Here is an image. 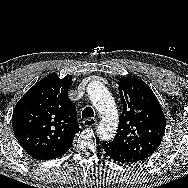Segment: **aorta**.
<instances>
[{"label":"aorta","instance_id":"762f6f07","mask_svg":"<svg viewBox=\"0 0 188 188\" xmlns=\"http://www.w3.org/2000/svg\"><path fill=\"white\" fill-rule=\"evenodd\" d=\"M89 98L99 112L101 121L97 135L101 140L114 138L118 126V111L109 90L100 81H91L87 87Z\"/></svg>","mask_w":188,"mask_h":188}]
</instances>
